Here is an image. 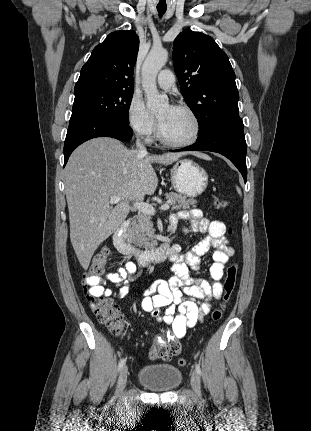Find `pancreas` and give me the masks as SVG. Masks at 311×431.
I'll use <instances>...</instances> for the list:
<instances>
[{
  "label": "pancreas",
  "mask_w": 311,
  "mask_h": 431,
  "mask_svg": "<svg viewBox=\"0 0 311 431\" xmlns=\"http://www.w3.org/2000/svg\"><path fill=\"white\" fill-rule=\"evenodd\" d=\"M165 196L166 200H172V210H191V208H195V204H198L194 198H187V196L174 194V192L165 194ZM154 231L152 216L138 214L127 229V241L128 243H135L139 247H145V249H152L158 245Z\"/></svg>",
  "instance_id": "obj_1"
}]
</instances>
